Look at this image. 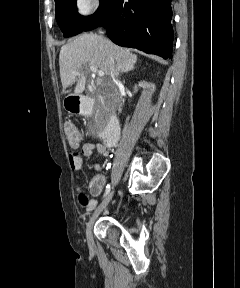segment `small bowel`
<instances>
[{"label":"small bowel","mask_w":240,"mask_h":288,"mask_svg":"<svg viewBox=\"0 0 240 288\" xmlns=\"http://www.w3.org/2000/svg\"><path fill=\"white\" fill-rule=\"evenodd\" d=\"M74 148H77V147H74ZM94 151H97L103 157H108L110 155L108 147L105 146L104 144L85 143L81 147L80 153H73L70 155L69 163H70L71 169L75 173H78L82 168V157L81 156L90 157ZM94 169L99 171L101 169V167L99 164H94ZM75 181L77 184L78 196H79V199H80L82 206L87 211H92L95 208V206L97 205V200L91 199V198H88L85 196V194L83 193V191L79 185V182H78L79 180H78L77 175L75 176ZM93 181L97 185V190L94 192L97 195L101 192L103 186L105 185L106 179L103 175H97Z\"/></svg>","instance_id":"c3829d8e"}]
</instances>
